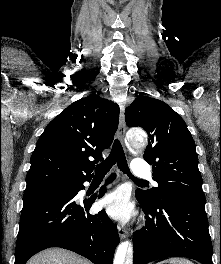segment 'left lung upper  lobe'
Wrapping results in <instances>:
<instances>
[{
    "label": "left lung upper lobe",
    "instance_id": "1",
    "mask_svg": "<svg viewBox=\"0 0 221 264\" xmlns=\"http://www.w3.org/2000/svg\"><path fill=\"white\" fill-rule=\"evenodd\" d=\"M129 127H142L149 136L144 159L153 165L158 187L136 195L147 202L164 197L205 203L195 142L184 120L166 103L137 97L125 110Z\"/></svg>",
    "mask_w": 221,
    "mask_h": 264
}]
</instances>
